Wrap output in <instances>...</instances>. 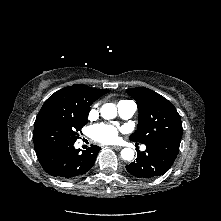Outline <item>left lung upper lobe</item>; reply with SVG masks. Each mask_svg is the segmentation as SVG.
<instances>
[{
  "label": "left lung upper lobe",
  "instance_id": "5c2ea615",
  "mask_svg": "<svg viewBox=\"0 0 221 221\" xmlns=\"http://www.w3.org/2000/svg\"><path fill=\"white\" fill-rule=\"evenodd\" d=\"M138 105V129L130 140L149 143L155 140L179 142L182 138V123L174 105L160 94L143 87L126 90Z\"/></svg>",
  "mask_w": 221,
  "mask_h": 221
}]
</instances>
